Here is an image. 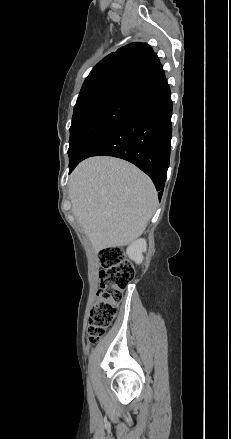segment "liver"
Returning <instances> with one entry per match:
<instances>
[{
    "instance_id": "liver-1",
    "label": "liver",
    "mask_w": 231,
    "mask_h": 439,
    "mask_svg": "<svg viewBox=\"0 0 231 439\" xmlns=\"http://www.w3.org/2000/svg\"><path fill=\"white\" fill-rule=\"evenodd\" d=\"M69 194L73 214L96 252L138 238L158 202L151 179L114 157L82 161L70 177Z\"/></svg>"
}]
</instances>
